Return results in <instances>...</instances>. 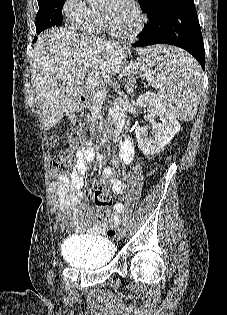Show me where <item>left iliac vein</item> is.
<instances>
[{
  "mask_svg": "<svg viewBox=\"0 0 227 315\" xmlns=\"http://www.w3.org/2000/svg\"><path fill=\"white\" fill-rule=\"evenodd\" d=\"M125 235H126L125 229H121V230H120V233H119V237H120V238H123Z\"/></svg>",
  "mask_w": 227,
  "mask_h": 315,
  "instance_id": "left-iliac-vein-1",
  "label": "left iliac vein"
}]
</instances>
